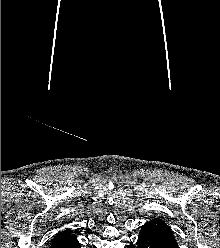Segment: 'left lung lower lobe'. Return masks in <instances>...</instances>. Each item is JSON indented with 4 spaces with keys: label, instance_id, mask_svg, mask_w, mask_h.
<instances>
[{
    "label": "left lung lower lobe",
    "instance_id": "1",
    "mask_svg": "<svg viewBox=\"0 0 220 248\" xmlns=\"http://www.w3.org/2000/svg\"><path fill=\"white\" fill-rule=\"evenodd\" d=\"M138 248H179L173 246L162 240L154 230L150 227L143 225L140 231V235L137 240Z\"/></svg>",
    "mask_w": 220,
    "mask_h": 248
}]
</instances>
